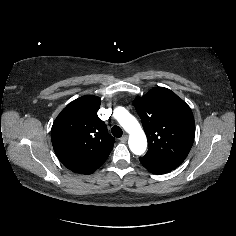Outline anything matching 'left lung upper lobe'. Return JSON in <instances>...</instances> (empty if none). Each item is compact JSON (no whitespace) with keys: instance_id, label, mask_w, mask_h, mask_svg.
Masks as SVG:
<instances>
[{"instance_id":"5c2ea615","label":"left lung upper lobe","mask_w":236,"mask_h":236,"mask_svg":"<svg viewBox=\"0 0 236 236\" xmlns=\"http://www.w3.org/2000/svg\"><path fill=\"white\" fill-rule=\"evenodd\" d=\"M133 103L149 143L140 162L155 169H176L194 141L195 123L190 107L163 87L153 88Z\"/></svg>"}]
</instances>
